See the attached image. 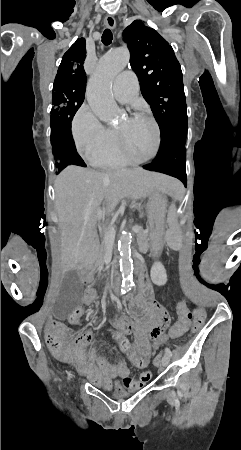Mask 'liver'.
I'll return each instance as SVG.
<instances>
[{
  "instance_id": "obj_1",
  "label": "liver",
  "mask_w": 241,
  "mask_h": 450,
  "mask_svg": "<svg viewBox=\"0 0 241 450\" xmlns=\"http://www.w3.org/2000/svg\"><path fill=\"white\" fill-rule=\"evenodd\" d=\"M171 184H177V180L139 168L108 172L65 168L54 182L63 272L94 264L98 252L96 224L113 212L122 198L140 200L152 192L166 194Z\"/></svg>"
}]
</instances>
